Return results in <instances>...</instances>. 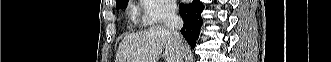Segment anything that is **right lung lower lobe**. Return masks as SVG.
I'll return each instance as SVG.
<instances>
[{
  "label": "right lung lower lobe",
  "mask_w": 331,
  "mask_h": 62,
  "mask_svg": "<svg viewBox=\"0 0 331 62\" xmlns=\"http://www.w3.org/2000/svg\"><path fill=\"white\" fill-rule=\"evenodd\" d=\"M180 16L184 20L181 33L191 45L195 47V42L198 39L200 33V27L202 24L201 12L204 9V5L199 0H193L190 4H180Z\"/></svg>",
  "instance_id": "right-lung-lower-lobe-1"
}]
</instances>
